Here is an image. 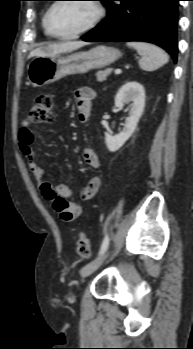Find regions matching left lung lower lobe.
Returning a JSON list of instances; mask_svg holds the SVG:
<instances>
[{
	"instance_id": "1",
	"label": "left lung lower lobe",
	"mask_w": 193,
	"mask_h": 349,
	"mask_svg": "<svg viewBox=\"0 0 193 349\" xmlns=\"http://www.w3.org/2000/svg\"><path fill=\"white\" fill-rule=\"evenodd\" d=\"M180 0H108L107 18L82 36L88 42L145 41L177 59Z\"/></svg>"
}]
</instances>
